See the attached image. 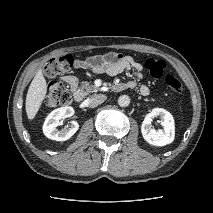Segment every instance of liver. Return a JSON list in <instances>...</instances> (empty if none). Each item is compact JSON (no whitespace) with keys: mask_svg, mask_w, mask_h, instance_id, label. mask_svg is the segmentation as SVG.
I'll return each mask as SVG.
<instances>
[{"mask_svg":"<svg viewBox=\"0 0 213 213\" xmlns=\"http://www.w3.org/2000/svg\"><path fill=\"white\" fill-rule=\"evenodd\" d=\"M47 93V83L39 70L34 76L26 96V114L29 120L34 119Z\"/></svg>","mask_w":213,"mask_h":213,"instance_id":"6515ba94","label":"liver"}]
</instances>
